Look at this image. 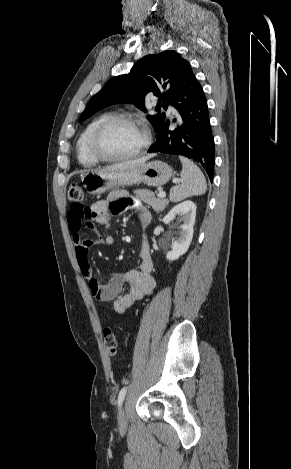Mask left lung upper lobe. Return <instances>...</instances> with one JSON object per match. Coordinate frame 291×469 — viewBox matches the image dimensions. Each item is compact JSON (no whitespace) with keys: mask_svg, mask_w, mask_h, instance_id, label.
Returning a JSON list of instances; mask_svg holds the SVG:
<instances>
[{"mask_svg":"<svg viewBox=\"0 0 291 469\" xmlns=\"http://www.w3.org/2000/svg\"><path fill=\"white\" fill-rule=\"evenodd\" d=\"M190 68V63L174 50L145 56L134 64L130 73L112 78L92 97L80 122L116 103H133L146 110L144 102L148 94L159 97L161 106L166 109V102L179 90ZM147 118L157 131L165 121V114L148 115Z\"/></svg>","mask_w":291,"mask_h":469,"instance_id":"1","label":"left lung upper lobe"}]
</instances>
